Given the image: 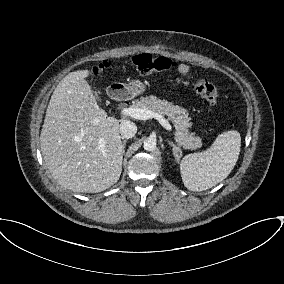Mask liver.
Wrapping results in <instances>:
<instances>
[{
    "mask_svg": "<svg viewBox=\"0 0 284 284\" xmlns=\"http://www.w3.org/2000/svg\"><path fill=\"white\" fill-rule=\"evenodd\" d=\"M88 75V70H78L59 82L47 107L40 146L60 185L73 192L98 193L119 180L123 148L120 120L107 117L97 105L85 80Z\"/></svg>",
    "mask_w": 284,
    "mask_h": 284,
    "instance_id": "6515ba94",
    "label": "liver"
}]
</instances>
